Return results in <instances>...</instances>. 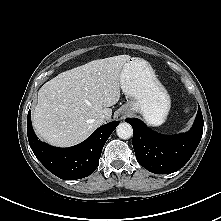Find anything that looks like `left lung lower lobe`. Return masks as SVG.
Returning <instances> with one entry per match:
<instances>
[{
	"instance_id": "obj_1",
	"label": "left lung lower lobe",
	"mask_w": 221,
	"mask_h": 221,
	"mask_svg": "<svg viewBox=\"0 0 221 221\" xmlns=\"http://www.w3.org/2000/svg\"><path fill=\"white\" fill-rule=\"evenodd\" d=\"M133 128V148L137 161L156 174H169L182 168L195 152L203 133L200 107L192 128L178 135H160L139 119H125Z\"/></svg>"
}]
</instances>
